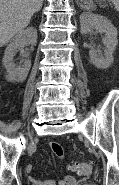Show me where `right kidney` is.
<instances>
[{
    "mask_svg": "<svg viewBox=\"0 0 119 185\" xmlns=\"http://www.w3.org/2000/svg\"><path fill=\"white\" fill-rule=\"evenodd\" d=\"M36 43L37 30L34 27H29L16 34L12 42L7 46L2 64L7 71L6 79L9 82H23L27 78L28 72L31 68L30 59L25 58L18 66H16L13 63V58L17 51L22 49L25 45L31 44L34 46Z\"/></svg>",
    "mask_w": 119,
    "mask_h": 185,
    "instance_id": "ca27d5eb",
    "label": "right kidney"
}]
</instances>
